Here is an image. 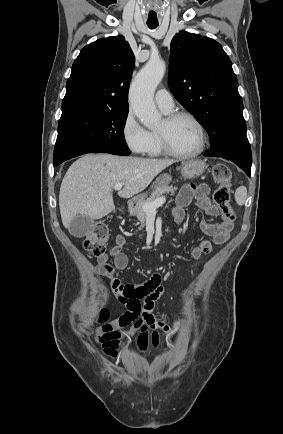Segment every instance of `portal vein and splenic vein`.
I'll use <instances>...</instances> for the list:
<instances>
[{
	"mask_svg": "<svg viewBox=\"0 0 283 434\" xmlns=\"http://www.w3.org/2000/svg\"><path fill=\"white\" fill-rule=\"evenodd\" d=\"M124 184H116L114 186L115 190H121ZM166 199L164 197H160L153 202L145 203L143 209L146 213H155L156 209L162 206L165 203Z\"/></svg>",
	"mask_w": 283,
	"mask_h": 434,
	"instance_id": "portal-vein-and-splenic-vein-1",
	"label": "portal vein and splenic vein"
}]
</instances>
